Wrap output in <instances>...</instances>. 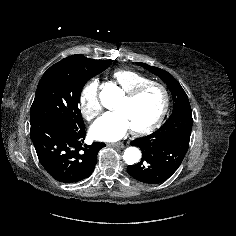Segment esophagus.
<instances>
[{
    "label": "esophagus",
    "mask_w": 236,
    "mask_h": 236,
    "mask_svg": "<svg viewBox=\"0 0 236 236\" xmlns=\"http://www.w3.org/2000/svg\"><path fill=\"white\" fill-rule=\"evenodd\" d=\"M108 146L123 148L124 144L120 143V142L119 143H109Z\"/></svg>",
    "instance_id": "obj_1"
}]
</instances>
